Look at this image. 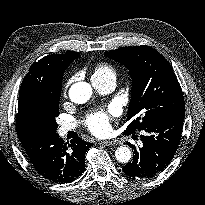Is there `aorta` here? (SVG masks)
<instances>
[{
	"label": "aorta",
	"mask_w": 205,
	"mask_h": 205,
	"mask_svg": "<svg viewBox=\"0 0 205 205\" xmlns=\"http://www.w3.org/2000/svg\"><path fill=\"white\" fill-rule=\"evenodd\" d=\"M93 90L87 82H77L70 87V100L76 104L86 103L92 96ZM115 158L121 163H128L132 158V152L129 147L120 146L115 151Z\"/></svg>",
	"instance_id": "1"
}]
</instances>
